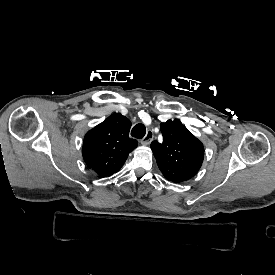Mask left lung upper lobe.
Listing matches in <instances>:
<instances>
[{"mask_svg": "<svg viewBox=\"0 0 275 275\" xmlns=\"http://www.w3.org/2000/svg\"><path fill=\"white\" fill-rule=\"evenodd\" d=\"M163 142L153 141L151 150L165 178L180 183L192 178L204 159V147L180 121L161 123Z\"/></svg>", "mask_w": 275, "mask_h": 275, "instance_id": "obj_1", "label": "left lung upper lobe"}]
</instances>
